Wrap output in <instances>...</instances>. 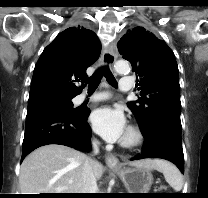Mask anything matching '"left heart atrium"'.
Masks as SVG:
<instances>
[{"instance_id": "obj_1", "label": "left heart atrium", "mask_w": 208, "mask_h": 198, "mask_svg": "<svg viewBox=\"0 0 208 198\" xmlns=\"http://www.w3.org/2000/svg\"><path fill=\"white\" fill-rule=\"evenodd\" d=\"M94 131L109 142L122 139L127 131V121L118 107L105 106L94 110L90 116Z\"/></svg>"}]
</instances>
